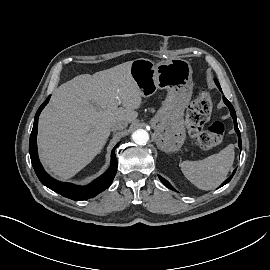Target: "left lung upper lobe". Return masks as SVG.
<instances>
[{
    "mask_svg": "<svg viewBox=\"0 0 270 270\" xmlns=\"http://www.w3.org/2000/svg\"><path fill=\"white\" fill-rule=\"evenodd\" d=\"M215 82L217 83L218 81L215 79ZM218 83H219V82H218ZM216 85H217V84H216ZM217 86H218V85H217ZM219 87H220V86H219ZM219 87H218V88H219Z\"/></svg>",
    "mask_w": 270,
    "mask_h": 270,
    "instance_id": "5c2ea615",
    "label": "left lung upper lobe"
}]
</instances>
